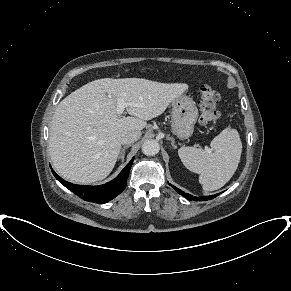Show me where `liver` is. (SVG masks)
<instances>
[{
  "mask_svg": "<svg viewBox=\"0 0 291 291\" xmlns=\"http://www.w3.org/2000/svg\"><path fill=\"white\" fill-rule=\"evenodd\" d=\"M188 89L187 84L142 78H103L85 84L57 106L50 126L49 154L64 179L89 184L106 178L117 161L121 135L141 131ZM131 116L117 113L118 101Z\"/></svg>",
  "mask_w": 291,
  "mask_h": 291,
  "instance_id": "6515ba94",
  "label": "liver"
}]
</instances>
